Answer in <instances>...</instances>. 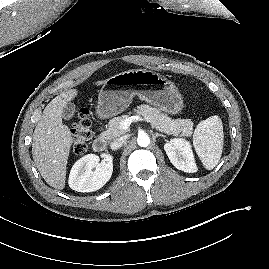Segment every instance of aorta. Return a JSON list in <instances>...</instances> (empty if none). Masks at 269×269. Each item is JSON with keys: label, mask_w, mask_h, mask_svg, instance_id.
Instances as JSON below:
<instances>
[{"label": "aorta", "mask_w": 269, "mask_h": 269, "mask_svg": "<svg viewBox=\"0 0 269 269\" xmlns=\"http://www.w3.org/2000/svg\"><path fill=\"white\" fill-rule=\"evenodd\" d=\"M137 143L141 147H147L150 144V137L146 133L139 134Z\"/></svg>", "instance_id": "1"}]
</instances>
